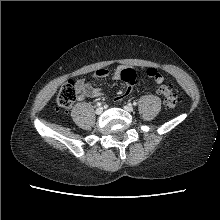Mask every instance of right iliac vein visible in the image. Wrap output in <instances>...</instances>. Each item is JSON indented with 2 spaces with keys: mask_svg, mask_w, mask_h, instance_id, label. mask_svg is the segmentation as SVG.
<instances>
[{
  "mask_svg": "<svg viewBox=\"0 0 220 220\" xmlns=\"http://www.w3.org/2000/svg\"><path fill=\"white\" fill-rule=\"evenodd\" d=\"M102 112H103V108H102V107H98V108L96 109V111H95V113H96L97 115L102 114Z\"/></svg>",
  "mask_w": 220,
  "mask_h": 220,
  "instance_id": "1",
  "label": "right iliac vein"
}]
</instances>
